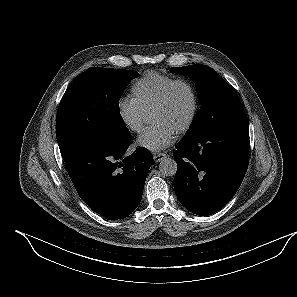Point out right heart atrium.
Listing matches in <instances>:
<instances>
[{"mask_svg": "<svg viewBox=\"0 0 297 297\" xmlns=\"http://www.w3.org/2000/svg\"><path fill=\"white\" fill-rule=\"evenodd\" d=\"M117 115L123 126L132 133H140L144 127L146 113L130 97H120L116 104Z\"/></svg>", "mask_w": 297, "mask_h": 297, "instance_id": "1", "label": "right heart atrium"}]
</instances>
